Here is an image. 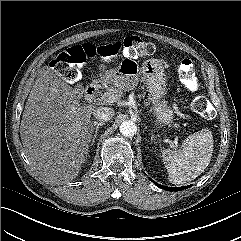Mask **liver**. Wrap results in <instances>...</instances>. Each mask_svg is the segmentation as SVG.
I'll list each match as a JSON object with an SVG mask.
<instances>
[{"label":"liver","instance_id":"1","mask_svg":"<svg viewBox=\"0 0 241 241\" xmlns=\"http://www.w3.org/2000/svg\"><path fill=\"white\" fill-rule=\"evenodd\" d=\"M94 109L81 105L77 87L48 66L38 72L23 111L20 136L28 160L45 182L60 184L78 176L92 138Z\"/></svg>","mask_w":241,"mask_h":241}]
</instances>
